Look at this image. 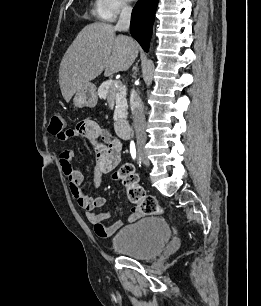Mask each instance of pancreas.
I'll list each match as a JSON object with an SVG mask.
<instances>
[{
    "label": "pancreas",
    "instance_id": "1",
    "mask_svg": "<svg viewBox=\"0 0 261 306\" xmlns=\"http://www.w3.org/2000/svg\"><path fill=\"white\" fill-rule=\"evenodd\" d=\"M115 82L108 80L103 82L99 88L97 94L107 101H114L116 109L114 111V120L117 121L127 116V100H126V88L115 87Z\"/></svg>",
    "mask_w": 261,
    "mask_h": 306
}]
</instances>
